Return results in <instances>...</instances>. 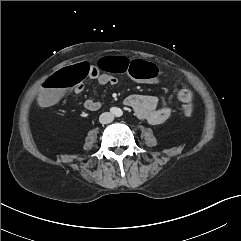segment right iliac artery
I'll return each instance as SVG.
<instances>
[{
	"mask_svg": "<svg viewBox=\"0 0 241 241\" xmlns=\"http://www.w3.org/2000/svg\"><path fill=\"white\" fill-rule=\"evenodd\" d=\"M110 111H111L112 113H115V112H116V108L112 107V108L110 109Z\"/></svg>",
	"mask_w": 241,
	"mask_h": 241,
	"instance_id": "right-iliac-artery-1",
	"label": "right iliac artery"
}]
</instances>
